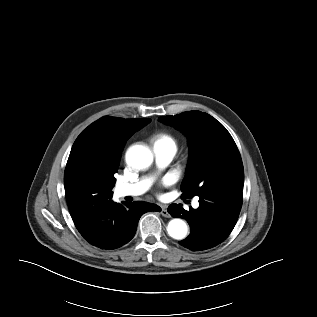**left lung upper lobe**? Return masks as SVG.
I'll return each mask as SVG.
<instances>
[{"label": "left lung upper lobe", "instance_id": "left-lung-upper-lobe-1", "mask_svg": "<svg viewBox=\"0 0 317 317\" xmlns=\"http://www.w3.org/2000/svg\"><path fill=\"white\" fill-rule=\"evenodd\" d=\"M159 121L183 131L190 148L182 198L214 190H243L244 169L238 148L226 128L201 111L160 117Z\"/></svg>", "mask_w": 317, "mask_h": 317}]
</instances>
